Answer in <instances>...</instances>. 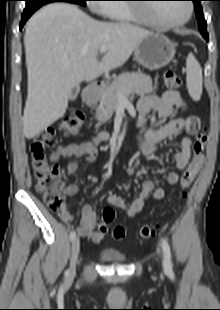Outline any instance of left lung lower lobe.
<instances>
[{"label":"left lung lower lobe","instance_id":"left-lung-lower-lobe-1","mask_svg":"<svg viewBox=\"0 0 220 310\" xmlns=\"http://www.w3.org/2000/svg\"><path fill=\"white\" fill-rule=\"evenodd\" d=\"M204 38L208 41V35H207V36H204Z\"/></svg>","mask_w":220,"mask_h":310}]
</instances>
